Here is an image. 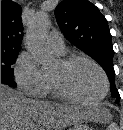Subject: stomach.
<instances>
[{"label":"stomach","instance_id":"1","mask_svg":"<svg viewBox=\"0 0 123 130\" xmlns=\"http://www.w3.org/2000/svg\"><path fill=\"white\" fill-rule=\"evenodd\" d=\"M70 130H91V129L86 124L75 123V124H73V126Z\"/></svg>","mask_w":123,"mask_h":130}]
</instances>
